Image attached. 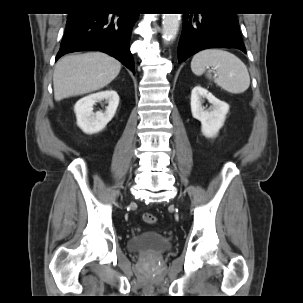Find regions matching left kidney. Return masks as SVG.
I'll return each mask as SVG.
<instances>
[{"label": "left kidney", "mask_w": 303, "mask_h": 303, "mask_svg": "<svg viewBox=\"0 0 303 303\" xmlns=\"http://www.w3.org/2000/svg\"><path fill=\"white\" fill-rule=\"evenodd\" d=\"M204 98L211 104L207 110L202 106ZM228 111L229 105L217 99L205 88L200 85L193 88L191 92L192 116L201 122V130L206 137L213 138L217 135L224 124Z\"/></svg>", "instance_id": "1"}]
</instances>
